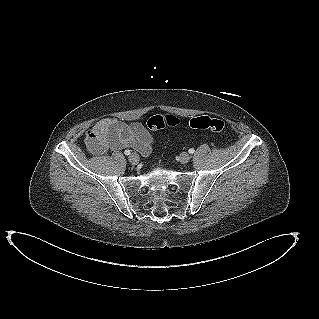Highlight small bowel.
Returning <instances> with one entry per match:
<instances>
[{
  "label": "small bowel",
  "instance_id": "obj_1",
  "mask_svg": "<svg viewBox=\"0 0 319 319\" xmlns=\"http://www.w3.org/2000/svg\"><path fill=\"white\" fill-rule=\"evenodd\" d=\"M86 146L92 155L132 148L148 156L153 151L154 138L140 122L125 123L116 118H103L88 132Z\"/></svg>",
  "mask_w": 319,
  "mask_h": 319
}]
</instances>
